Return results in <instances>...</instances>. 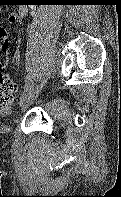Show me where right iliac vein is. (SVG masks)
I'll use <instances>...</instances> for the list:
<instances>
[{
  "instance_id": "obj_1",
  "label": "right iliac vein",
  "mask_w": 121,
  "mask_h": 197,
  "mask_svg": "<svg viewBox=\"0 0 121 197\" xmlns=\"http://www.w3.org/2000/svg\"><path fill=\"white\" fill-rule=\"evenodd\" d=\"M43 88V84L38 85L28 96L25 100L21 102V111H25L38 97L39 93Z\"/></svg>"
}]
</instances>
